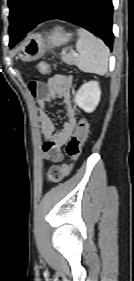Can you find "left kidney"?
Returning <instances> with one entry per match:
<instances>
[{
  "label": "left kidney",
  "instance_id": "left-kidney-1",
  "mask_svg": "<svg viewBox=\"0 0 134 281\" xmlns=\"http://www.w3.org/2000/svg\"><path fill=\"white\" fill-rule=\"evenodd\" d=\"M101 96L99 83L90 81L83 84L75 96L76 104L87 113H91L97 107Z\"/></svg>",
  "mask_w": 134,
  "mask_h": 281
}]
</instances>
